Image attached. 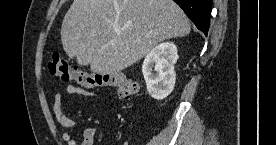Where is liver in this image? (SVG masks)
<instances>
[{
	"label": "liver",
	"mask_w": 276,
	"mask_h": 145,
	"mask_svg": "<svg viewBox=\"0 0 276 145\" xmlns=\"http://www.w3.org/2000/svg\"><path fill=\"white\" fill-rule=\"evenodd\" d=\"M189 19L173 0H74L61 41L70 58L83 57L93 73L116 74L158 43L190 33Z\"/></svg>",
	"instance_id": "obj_1"
}]
</instances>
